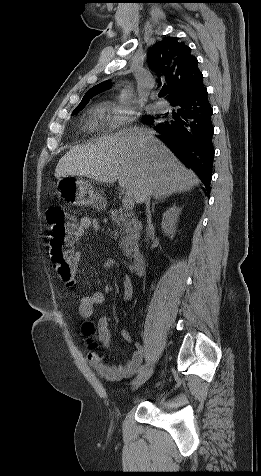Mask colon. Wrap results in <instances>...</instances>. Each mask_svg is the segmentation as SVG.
<instances>
[{
  "mask_svg": "<svg viewBox=\"0 0 261 476\" xmlns=\"http://www.w3.org/2000/svg\"><path fill=\"white\" fill-rule=\"evenodd\" d=\"M48 224L47 250L50 260L59 277L68 285L74 283L75 268L71 264L72 243L75 238L77 224L63 207L54 204L46 211ZM89 328L84 327L85 334ZM93 344H91L92 346Z\"/></svg>",
  "mask_w": 261,
  "mask_h": 476,
  "instance_id": "obj_1",
  "label": "colon"
}]
</instances>
